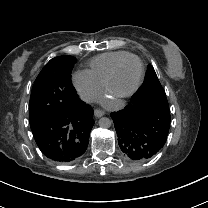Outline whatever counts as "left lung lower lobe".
Masks as SVG:
<instances>
[{
  "mask_svg": "<svg viewBox=\"0 0 208 208\" xmlns=\"http://www.w3.org/2000/svg\"><path fill=\"white\" fill-rule=\"evenodd\" d=\"M121 151L131 160L145 161L164 146L170 113L159 107L130 103L110 114Z\"/></svg>",
  "mask_w": 208,
  "mask_h": 208,
  "instance_id": "obj_1",
  "label": "left lung lower lobe"
}]
</instances>
